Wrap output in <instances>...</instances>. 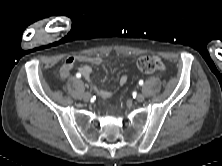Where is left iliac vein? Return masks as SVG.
I'll list each match as a JSON object with an SVG mask.
<instances>
[{
    "instance_id": "left-iliac-vein-1",
    "label": "left iliac vein",
    "mask_w": 222,
    "mask_h": 166,
    "mask_svg": "<svg viewBox=\"0 0 222 166\" xmlns=\"http://www.w3.org/2000/svg\"><path fill=\"white\" fill-rule=\"evenodd\" d=\"M144 99H145V96H144L143 94H138V95L136 96V100H137L138 102H143Z\"/></svg>"
}]
</instances>
